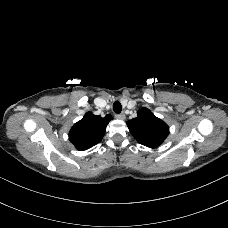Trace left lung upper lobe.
<instances>
[{"label":"left lung upper lobe","instance_id":"5c2ea615","mask_svg":"<svg viewBox=\"0 0 228 228\" xmlns=\"http://www.w3.org/2000/svg\"><path fill=\"white\" fill-rule=\"evenodd\" d=\"M133 137L142 145L156 148L169 134V127L149 109L141 108L137 117L127 122Z\"/></svg>","mask_w":228,"mask_h":228}]
</instances>
